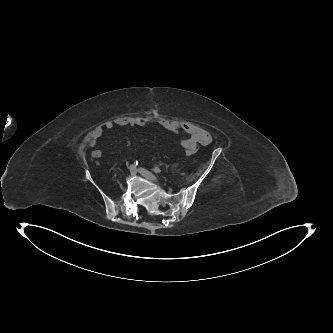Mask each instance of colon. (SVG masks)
<instances>
[{"instance_id": "obj_1", "label": "colon", "mask_w": 333, "mask_h": 333, "mask_svg": "<svg viewBox=\"0 0 333 333\" xmlns=\"http://www.w3.org/2000/svg\"><path fill=\"white\" fill-rule=\"evenodd\" d=\"M198 148H199V146H196L194 150H185L184 151L185 156L189 157V156L197 155L199 153Z\"/></svg>"}]
</instances>
